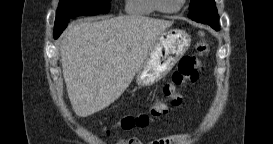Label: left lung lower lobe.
Returning a JSON list of instances; mask_svg holds the SVG:
<instances>
[{
	"label": "left lung lower lobe",
	"instance_id": "left-lung-lower-lobe-1",
	"mask_svg": "<svg viewBox=\"0 0 273 144\" xmlns=\"http://www.w3.org/2000/svg\"><path fill=\"white\" fill-rule=\"evenodd\" d=\"M218 18V14H217V11H208L206 13H203L202 15H199L196 20V22H199V23H204V24H208L210 25L211 27L215 28L216 30H218V27H217V20Z\"/></svg>",
	"mask_w": 273,
	"mask_h": 144
}]
</instances>
